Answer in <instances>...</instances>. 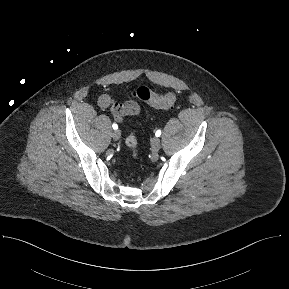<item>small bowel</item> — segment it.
<instances>
[{
  "instance_id": "obj_1",
  "label": "small bowel",
  "mask_w": 289,
  "mask_h": 289,
  "mask_svg": "<svg viewBox=\"0 0 289 289\" xmlns=\"http://www.w3.org/2000/svg\"><path fill=\"white\" fill-rule=\"evenodd\" d=\"M97 104L102 109H110L118 122H123L126 116H137L140 113V106L136 101L118 102L108 93L100 95Z\"/></svg>"
}]
</instances>
